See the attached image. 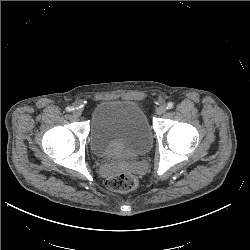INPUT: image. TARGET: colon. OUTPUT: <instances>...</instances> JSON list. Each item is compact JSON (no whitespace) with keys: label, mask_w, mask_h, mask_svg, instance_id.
I'll list each match as a JSON object with an SVG mask.
<instances>
[{"label":"colon","mask_w":250,"mask_h":250,"mask_svg":"<svg viewBox=\"0 0 250 250\" xmlns=\"http://www.w3.org/2000/svg\"><path fill=\"white\" fill-rule=\"evenodd\" d=\"M139 185V178L131 173H118L109 177L106 186L113 192L128 193Z\"/></svg>","instance_id":"obj_1"}]
</instances>
